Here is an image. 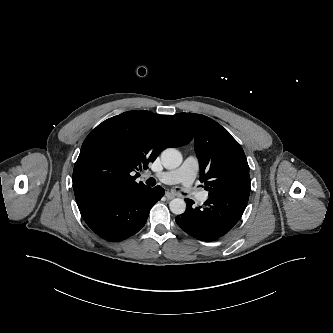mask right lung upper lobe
I'll list each match as a JSON object with an SVG mask.
<instances>
[{
  "mask_svg": "<svg viewBox=\"0 0 333 333\" xmlns=\"http://www.w3.org/2000/svg\"><path fill=\"white\" fill-rule=\"evenodd\" d=\"M193 136L179 118L149 111H128L99 124L84 140L73 170L76 200L92 194L129 195L147 186L136 183L167 147L189 143ZM136 173V174H135Z\"/></svg>",
  "mask_w": 333,
  "mask_h": 333,
  "instance_id": "1",
  "label": "right lung upper lobe"
}]
</instances>
